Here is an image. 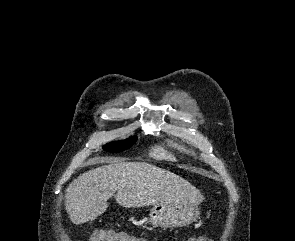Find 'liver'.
Masks as SVG:
<instances>
[{"label":"liver","instance_id":"liver-1","mask_svg":"<svg viewBox=\"0 0 295 241\" xmlns=\"http://www.w3.org/2000/svg\"><path fill=\"white\" fill-rule=\"evenodd\" d=\"M125 208L149 205H192L204 199L182 177L145 162L113 161L74 179L65 192V208L73 224L94 220L114 196Z\"/></svg>","mask_w":295,"mask_h":241}]
</instances>
